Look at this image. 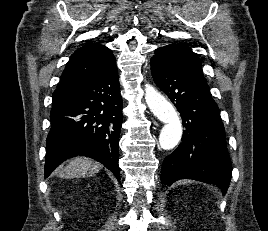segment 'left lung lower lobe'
<instances>
[{"instance_id":"obj_1","label":"left lung lower lobe","mask_w":268,"mask_h":231,"mask_svg":"<svg viewBox=\"0 0 268 231\" xmlns=\"http://www.w3.org/2000/svg\"><path fill=\"white\" fill-rule=\"evenodd\" d=\"M150 63L156 85L176 106L185 128L182 143L163 161L162 183L193 179L216 184L225 194L232 167L224 126L207 82L162 60L152 58Z\"/></svg>"}]
</instances>
